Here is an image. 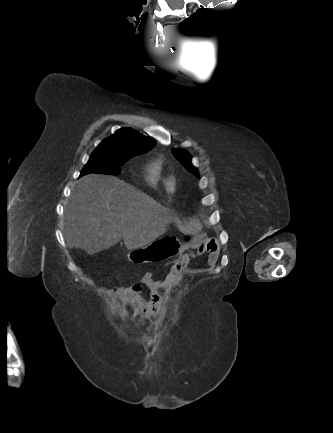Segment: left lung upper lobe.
I'll use <instances>...</instances> for the list:
<instances>
[{
  "label": "left lung upper lobe",
  "mask_w": 333,
  "mask_h": 433,
  "mask_svg": "<svg viewBox=\"0 0 333 433\" xmlns=\"http://www.w3.org/2000/svg\"><path fill=\"white\" fill-rule=\"evenodd\" d=\"M172 152H173L174 156L185 166V168L189 172L195 174L196 176L199 175L197 170L192 166L191 158L186 151L174 149Z\"/></svg>",
  "instance_id": "left-lung-upper-lobe-1"
}]
</instances>
